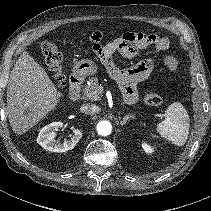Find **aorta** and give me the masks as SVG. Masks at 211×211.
<instances>
[{"mask_svg": "<svg viewBox=\"0 0 211 211\" xmlns=\"http://www.w3.org/2000/svg\"><path fill=\"white\" fill-rule=\"evenodd\" d=\"M97 132L101 136H108L111 134L112 131V125L109 121H100L97 124Z\"/></svg>", "mask_w": 211, "mask_h": 211, "instance_id": "obj_1", "label": "aorta"}]
</instances>
